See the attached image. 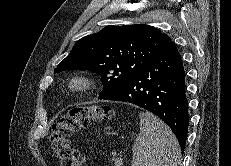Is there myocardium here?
<instances>
[{"mask_svg": "<svg viewBox=\"0 0 231 166\" xmlns=\"http://www.w3.org/2000/svg\"><path fill=\"white\" fill-rule=\"evenodd\" d=\"M94 86V77L86 72H75L64 81V87L70 93H85L92 90Z\"/></svg>", "mask_w": 231, "mask_h": 166, "instance_id": "1", "label": "myocardium"}]
</instances>
